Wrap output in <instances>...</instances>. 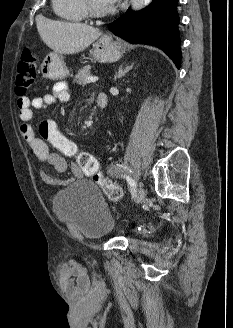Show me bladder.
<instances>
[{"label":"bladder","instance_id":"31cf9c89","mask_svg":"<svg viewBox=\"0 0 233 328\" xmlns=\"http://www.w3.org/2000/svg\"><path fill=\"white\" fill-rule=\"evenodd\" d=\"M52 204L58 215L87 239L109 234L115 220L99 188L89 180L71 183L55 194Z\"/></svg>","mask_w":233,"mask_h":328}]
</instances>
